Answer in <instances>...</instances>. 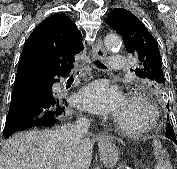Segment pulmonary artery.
<instances>
[{
    "label": "pulmonary artery",
    "instance_id": "obj_1",
    "mask_svg": "<svg viewBox=\"0 0 177 169\" xmlns=\"http://www.w3.org/2000/svg\"><path fill=\"white\" fill-rule=\"evenodd\" d=\"M125 59L122 56H112L109 60L111 71H121L124 68Z\"/></svg>",
    "mask_w": 177,
    "mask_h": 169
}]
</instances>
